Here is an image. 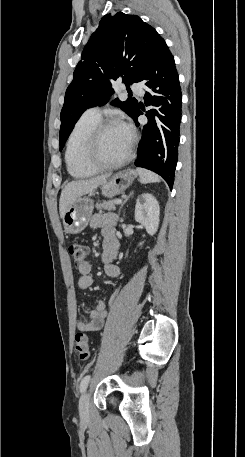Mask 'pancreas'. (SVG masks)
Instances as JSON below:
<instances>
[{
    "mask_svg": "<svg viewBox=\"0 0 245 457\" xmlns=\"http://www.w3.org/2000/svg\"><path fill=\"white\" fill-rule=\"evenodd\" d=\"M117 198H114V200H104V202H99V204H96V208H105V210H116V202Z\"/></svg>",
    "mask_w": 245,
    "mask_h": 457,
    "instance_id": "obj_1",
    "label": "pancreas"
}]
</instances>
